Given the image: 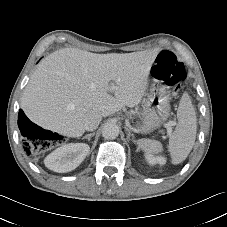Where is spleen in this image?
<instances>
[{
    "label": "spleen",
    "mask_w": 227,
    "mask_h": 227,
    "mask_svg": "<svg viewBox=\"0 0 227 227\" xmlns=\"http://www.w3.org/2000/svg\"><path fill=\"white\" fill-rule=\"evenodd\" d=\"M177 118V126L168 144L173 164H179L187 158L196 139V113L188 93H184L181 97ZM137 145L148 154H157L163 150L160 142L151 139H140Z\"/></svg>",
    "instance_id": "spleen-1"
}]
</instances>
